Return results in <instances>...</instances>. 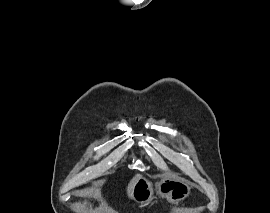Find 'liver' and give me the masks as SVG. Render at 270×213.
Instances as JSON below:
<instances>
[{"label":"liver","instance_id":"1","mask_svg":"<svg viewBox=\"0 0 270 213\" xmlns=\"http://www.w3.org/2000/svg\"><path fill=\"white\" fill-rule=\"evenodd\" d=\"M139 177H140V175L137 174L135 177L132 178V180L128 184L127 194L129 196V198H132L133 187H134V185L137 182V180H138Z\"/></svg>","mask_w":270,"mask_h":213}]
</instances>
